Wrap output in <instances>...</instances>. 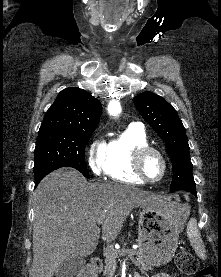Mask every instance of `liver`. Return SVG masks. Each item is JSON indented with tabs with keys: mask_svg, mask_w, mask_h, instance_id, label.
Here are the masks:
<instances>
[{
	"mask_svg": "<svg viewBox=\"0 0 221 277\" xmlns=\"http://www.w3.org/2000/svg\"><path fill=\"white\" fill-rule=\"evenodd\" d=\"M166 201L139 188L117 183H89L75 169L48 174L35 190L33 263L29 277H52L71 255H91L102 232L115 240L137 207H165Z\"/></svg>",
	"mask_w": 221,
	"mask_h": 277,
	"instance_id": "liver-1",
	"label": "liver"
}]
</instances>
